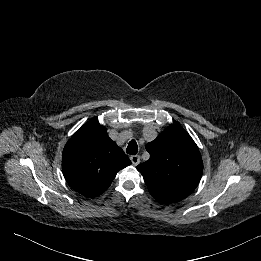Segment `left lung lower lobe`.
<instances>
[{
    "label": "left lung lower lobe",
    "mask_w": 261,
    "mask_h": 261,
    "mask_svg": "<svg viewBox=\"0 0 261 261\" xmlns=\"http://www.w3.org/2000/svg\"><path fill=\"white\" fill-rule=\"evenodd\" d=\"M153 197L160 203H173V202H178L183 200L179 197L167 196V195H160V196H153Z\"/></svg>",
    "instance_id": "left-lung-lower-lobe-1"
}]
</instances>
